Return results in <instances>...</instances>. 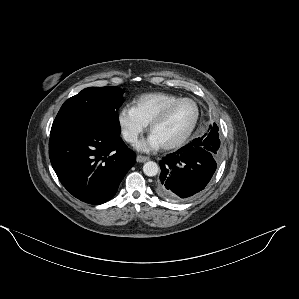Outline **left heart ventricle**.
Listing matches in <instances>:
<instances>
[{"label": "left heart ventricle", "instance_id": "obj_1", "mask_svg": "<svg viewBox=\"0 0 299 299\" xmlns=\"http://www.w3.org/2000/svg\"><path fill=\"white\" fill-rule=\"evenodd\" d=\"M196 115L193 103L185 101L176 106L168 117L156 126L152 135L161 146L179 139L191 127Z\"/></svg>", "mask_w": 299, "mask_h": 299}]
</instances>
